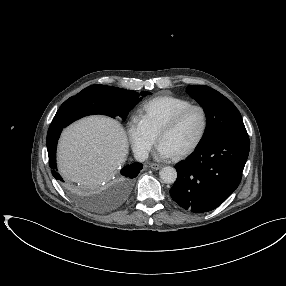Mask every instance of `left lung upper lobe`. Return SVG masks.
<instances>
[{
    "instance_id": "5c2ea615",
    "label": "left lung upper lobe",
    "mask_w": 286,
    "mask_h": 286,
    "mask_svg": "<svg viewBox=\"0 0 286 286\" xmlns=\"http://www.w3.org/2000/svg\"><path fill=\"white\" fill-rule=\"evenodd\" d=\"M186 91L200 104L207 117L201 143L225 135L248 136L240 112L228 98L203 85H189Z\"/></svg>"
}]
</instances>
